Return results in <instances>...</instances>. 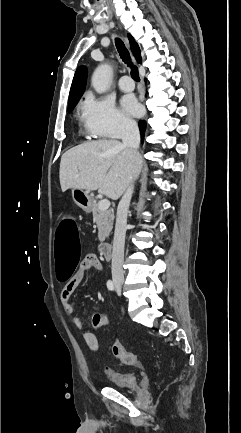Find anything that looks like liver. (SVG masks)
Wrapping results in <instances>:
<instances>
[{"instance_id": "1", "label": "liver", "mask_w": 241, "mask_h": 433, "mask_svg": "<svg viewBox=\"0 0 241 433\" xmlns=\"http://www.w3.org/2000/svg\"><path fill=\"white\" fill-rule=\"evenodd\" d=\"M139 165L138 153L117 140L87 142L62 155L59 171L61 190H98L100 194L117 200L136 177Z\"/></svg>"}]
</instances>
